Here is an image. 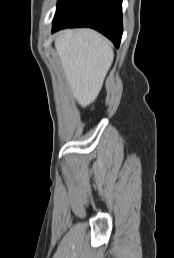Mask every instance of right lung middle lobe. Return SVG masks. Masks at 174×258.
Wrapping results in <instances>:
<instances>
[{
  "label": "right lung middle lobe",
  "instance_id": "right-lung-middle-lobe-1",
  "mask_svg": "<svg viewBox=\"0 0 174 258\" xmlns=\"http://www.w3.org/2000/svg\"><path fill=\"white\" fill-rule=\"evenodd\" d=\"M68 0H58L56 12L59 11Z\"/></svg>",
  "mask_w": 174,
  "mask_h": 258
}]
</instances>
